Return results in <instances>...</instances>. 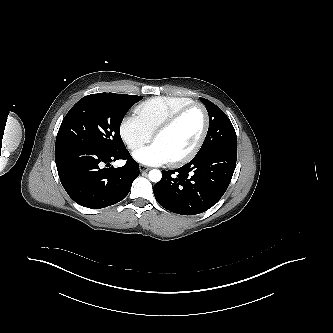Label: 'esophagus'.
<instances>
[{
	"label": "esophagus",
	"mask_w": 333,
	"mask_h": 333,
	"mask_svg": "<svg viewBox=\"0 0 333 333\" xmlns=\"http://www.w3.org/2000/svg\"><path fill=\"white\" fill-rule=\"evenodd\" d=\"M139 169H140L141 172H147V171L150 170L149 167H146V166H144V165H141Z\"/></svg>",
	"instance_id": "1"
}]
</instances>
